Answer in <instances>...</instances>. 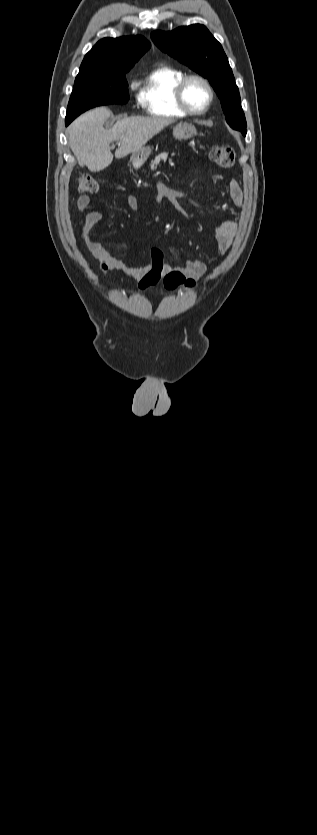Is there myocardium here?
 <instances>
[{
  "label": "myocardium",
  "mask_w": 317,
  "mask_h": 835,
  "mask_svg": "<svg viewBox=\"0 0 317 835\" xmlns=\"http://www.w3.org/2000/svg\"><path fill=\"white\" fill-rule=\"evenodd\" d=\"M199 81L205 85L209 93V100L207 104L200 110H195L191 108L186 100V88L191 81ZM176 100L179 107L188 115L199 116L205 114L213 104L215 98L214 88L211 82L204 76L199 74H190L185 75L181 81L178 83L176 90H175Z\"/></svg>",
  "instance_id": "obj_1"
}]
</instances>
